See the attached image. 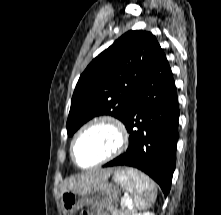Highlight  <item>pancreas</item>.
Masks as SVG:
<instances>
[{
	"mask_svg": "<svg viewBox=\"0 0 221 215\" xmlns=\"http://www.w3.org/2000/svg\"><path fill=\"white\" fill-rule=\"evenodd\" d=\"M112 215H136L133 210L112 211Z\"/></svg>",
	"mask_w": 221,
	"mask_h": 215,
	"instance_id": "cf45deb5",
	"label": "pancreas"
}]
</instances>
